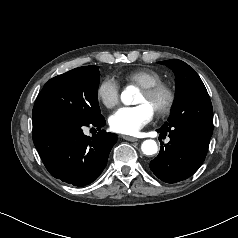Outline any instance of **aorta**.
Listing matches in <instances>:
<instances>
[{
  "instance_id": "762f6f07",
  "label": "aorta",
  "mask_w": 238,
  "mask_h": 238,
  "mask_svg": "<svg viewBox=\"0 0 238 238\" xmlns=\"http://www.w3.org/2000/svg\"><path fill=\"white\" fill-rule=\"evenodd\" d=\"M136 93V89L129 86L121 93V101L125 105H130L133 101V95ZM141 150L145 155H154L158 151L157 143L148 139L141 144Z\"/></svg>"
}]
</instances>
